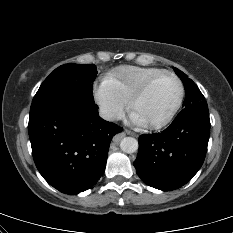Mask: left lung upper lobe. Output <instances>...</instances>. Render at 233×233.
Masks as SVG:
<instances>
[{"mask_svg":"<svg viewBox=\"0 0 233 233\" xmlns=\"http://www.w3.org/2000/svg\"><path fill=\"white\" fill-rule=\"evenodd\" d=\"M178 77L185 86L186 98L183 106L186 107L192 103L205 100V97L197 87V85L188 76L177 68H173Z\"/></svg>","mask_w":233,"mask_h":233,"instance_id":"1","label":"left lung upper lobe"}]
</instances>
